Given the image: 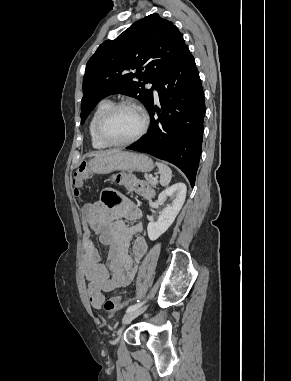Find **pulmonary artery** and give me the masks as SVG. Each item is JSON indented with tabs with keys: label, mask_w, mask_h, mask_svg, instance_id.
<instances>
[{
	"label": "pulmonary artery",
	"mask_w": 291,
	"mask_h": 381,
	"mask_svg": "<svg viewBox=\"0 0 291 381\" xmlns=\"http://www.w3.org/2000/svg\"><path fill=\"white\" fill-rule=\"evenodd\" d=\"M154 92H155V95L158 96V91H157V89H155Z\"/></svg>",
	"instance_id": "e3ab8cb5"
}]
</instances>
